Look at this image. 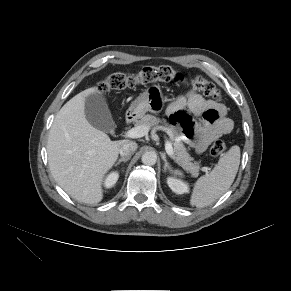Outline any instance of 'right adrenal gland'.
Returning <instances> with one entry per match:
<instances>
[{
    "label": "right adrenal gland",
    "instance_id": "obj_1",
    "mask_svg": "<svg viewBox=\"0 0 291 291\" xmlns=\"http://www.w3.org/2000/svg\"><path fill=\"white\" fill-rule=\"evenodd\" d=\"M128 160H130V157H123V158H120L117 163L115 164L116 166L118 164H120L121 162H127Z\"/></svg>",
    "mask_w": 291,
    "mask_h": 291
}]
</instances>
